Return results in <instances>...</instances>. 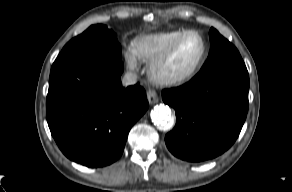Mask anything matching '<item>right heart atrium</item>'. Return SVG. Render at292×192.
<instances>
[{
	"instance_id": "1",
	"label": "right heart atrium",
	"mask_w": 292,
	"mask_h": 192,
	"mask_svg": "<svg viewBox=\"0 0 292 192\" xmlns=\"http://www.w3.org/2000/svg\"><path fill=\"white\" fill-rule=\"evenodd\" d=\"M124 57H125V60L128 64V66L130 68H135L136 67V64H137V58L136 56L134 55L133 51L132 50H126L124 52Z\"/></svg>"
}]
</instances>
